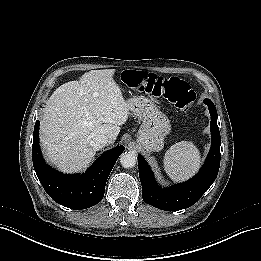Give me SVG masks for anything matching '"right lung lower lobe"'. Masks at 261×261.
<instances>
[{
    "mask_svg": "<svg viewBox=\"0 0 261 261\" xmlns=\"http://www.w3.org/2000/svg\"><path fill=\"white\" fill-rule=\"evenodd\" d=\"M39 124L37 120L33 132V166L48 195L57 203L75 210L99 203L104 196L107 178L125 147L118 146L103 153L84 174L64 175L49 167L42 158Z\"/></svg>",
    "mask_w": 261,
    "mask_h": 261,
    "instance_id": "obj_1",
    "label": "right lung lower lobe"
}]
</instances>
